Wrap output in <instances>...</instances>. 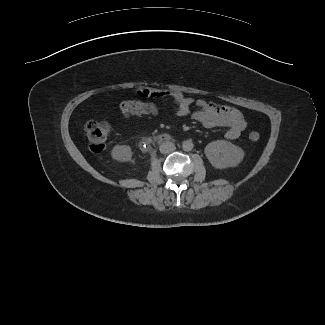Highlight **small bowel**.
I'll return each mask as SVG.
<instances>
[{
	"label": "small bowel",
	"mask_w": 325,
	"mask_h": 325,
	"mask_svg": "<svg viewBox=\"0 0 325 325\" xmlns=\"http://www.w3.org/2000/svg\"><path fill=\"white\" fill-rule=\"evenodd\" d=\"M175 100V114L183 118L191 116L197 123L206 128L227 127L225 134L228 140L238 139L246 128V121L242 113L232 106L221 105L213 101L194 100L183 94L179 89L168 87L165 89L143 88L136 93V99L166 98ZM195 107L192 110V107Z\"/></svg>",
	"instance_id": "obj_1"
}]
</instances>
